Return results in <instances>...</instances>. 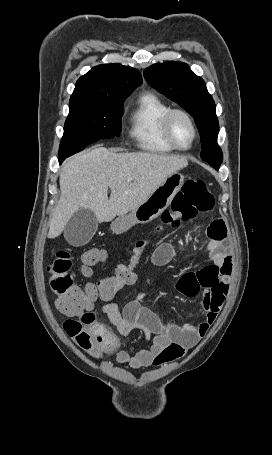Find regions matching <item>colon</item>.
Here are the masks:
<instances>
[{
	"mask_svg": "<svg viewBox=\"0 0 272 455\" xmlns=\"http://www.w3.org/2000/svg\"><path fill=\"white\" fill-rule=\"evenodd\" d=\"M214 199L207 184L202 179H189L174 198L171 209L161 215V223L155 233L166 228H176L182 222L193 219L198 213L212 209ZM151 238L139 240L130 259L116 266L112 276L100 280L97 284L80 286L74 283L72 274L73 257L67 250L59 251L48 267L50 288L55 295L57 309L70 316L63 323L67 335L83 350L94 357H101L117 345L116 337L95 321L90 312L93 303L99 298L103 301L113 299L122 288L134 284L137 268L145 248ZM102 250L92 249L84 253L82 260L84 271L89 274V267L102 261Z\"/></svg>",
	"mask_w": 272,
	"mask_h": 455,
	"instance_id": "1",
	"label": "colon"
}]
</instances>
